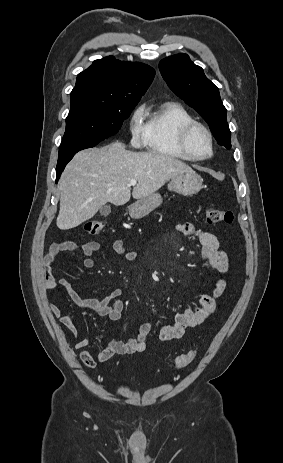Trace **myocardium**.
I'll return each instance as SVG.
<instances>
[{"label":"myocardium","instance_id":"f54148a6","mask_svg":"<svg viewBox=\"0 0 283 463\" xmlns=\"http://www.w3.org/2000/svg\"><path fill=\"white\" fill-rule=\"evenodd\" d=\"M197 129L202 130L209 139L210 153L207 156L196 155L190 147V137L192 133ZM179 146L181 150L184 152V154H186L191 160H195V161L207 160L211 158L214 154V136L211 130L206 125L198 121H193L185 125L181 129L180 134H179Z\"/></svg>","mask_w":283,"mask_h":463}]
</instances>
